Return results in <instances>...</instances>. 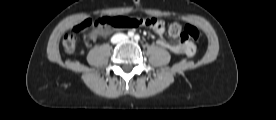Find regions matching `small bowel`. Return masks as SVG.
Instances as JSON below:
<instances>
[{
    "label": "small bowel",
    "instance_id": "obj_1",
    "mask_svg": "<svg viewBox=\"0 0 276 120\" xmlns=\"http://www.w3.org/2000/svg\"><path fill=\"white\" fill-rule=\"evenodd\" d=\"M154 30L157 34H162L164 32V25L159 28H154ZM105 33H106V31H103V30H93L90 33V39L94 41L100 35H103ZM158 45L161 48L168 49L175 54H183L187 57L193 56L196 51V47L192 42L183 41V42H179L177 44H170L164 40H159Z\"/></svg>",
    "mask_w": 276,
    "mask_h": 120
}]
</instances>
